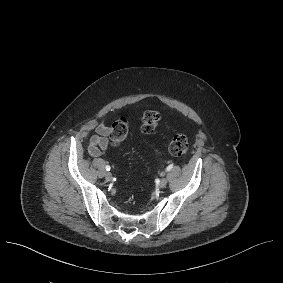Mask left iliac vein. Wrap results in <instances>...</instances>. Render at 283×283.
Instances as JSON below:
<instances>
[{
    "label": "left iliac vein",
    "mask_w": 283,
    "mask_h": 283,
    "mask_svg": "<svg viewBox=\"0 0 283 283\" xmlns=\"http://www.w3.org/2000/svg\"><path fill=\"white\" fill-rule=\"evenodd\" d=\"M167 179L166 178H161L160 180H159V183H158V186L160 187V188H164L166 185H167Z\"/></svg>",
    "instance_id": "1"
}]
</instances>
